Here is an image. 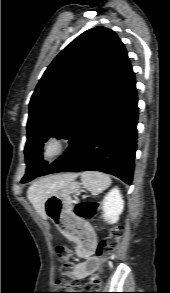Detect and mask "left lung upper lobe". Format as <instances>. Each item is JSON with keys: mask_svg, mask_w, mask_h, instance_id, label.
<instances>
[{"mask_svg": "<svg viewBox=\"0 0 170 293\" xmlns=\"http://www.w3.org/2000/svg\"><path fill=\"white\" fill-rule=\"evenodd\" d=\"M128 63L123 43L102 26L82 33L53 60L30 100L21 183L46 168L43 143L52 135L70 142Z\"/></svg>", "mask_w": 170, "mask_h": 293, "instance_id": "1", "label": "left lung upper lobe"}]
</instances>
